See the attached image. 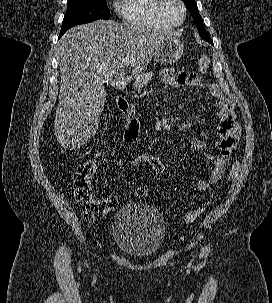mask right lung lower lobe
<instances>
[{
	"instance_id": "right-lung-lower-lobe-1",
	"label": "right lung lower lobe",
	"mask_w": 272,
	"mask_h": 303,
	"mask_svg": "<svg viewBox=\"0 0 272 303\" xmlns=\"http://www.w3.org/2000/svg\"><path fill=\"white\" fill-rule=\"evenodd\" d=\"M62 35H63V34H60V35H59V38H60Z\"/></svg>"
}]
</instances>
